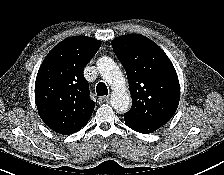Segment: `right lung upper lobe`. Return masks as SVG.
Masks as SVG:
<instances>
[{
  "label": "right lung upper lobe",
  "instance_id": "1",
  "mask_svg": "<svg viewBox=\"0 0 224 175\" xmlns=\"http://www.w3.org/2000/svg\"><path fill=\"white\" fill-rule=\"evenodd\" d=\"M101 42L85 36L70 37L45 57L35 83V100L43 122L53 131L68 135L89 121L95 107L83 76L86 64Z\"/></svg>",
  "mask_w": 224,
  "mask_h": 175
}]
</instances>
